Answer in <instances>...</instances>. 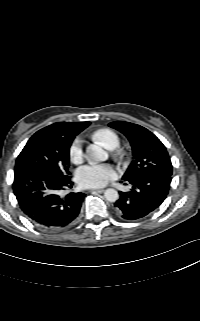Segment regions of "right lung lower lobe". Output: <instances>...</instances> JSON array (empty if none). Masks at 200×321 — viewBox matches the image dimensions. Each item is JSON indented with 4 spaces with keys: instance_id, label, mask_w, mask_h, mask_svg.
I'll list each match as a JSON object with an SVG mask.
<instances>
[{
    "instance_id": "obj_1",
    "label": "right lung lower lobe",
    "mask_w": 200,
    "mask_h": 321,
    "mask_svg": "<svg viewBox=\"0 0 200 321\" xmlns=\"http://www.w3.org/2000/svg\"><path fill=\"white\" fill-rule=\"evenodd\" d=\"M70 176L58 177L44 168L15 171L13 192L26 217L38 228L55 232L70 226L80 212L85 194L69 193Z\"/></svg>"
}]
</instances>
